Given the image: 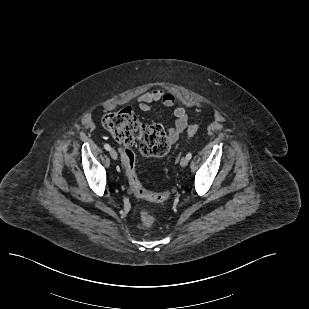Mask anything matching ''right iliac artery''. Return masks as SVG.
Instances as JSON below:
<instances>
[{"label":"right iliac artery","instance_id":"obj_1","mask_svg":"<svg viewBox=\"0 0 309 309\" xmlns=\"http://www.w3.org/2000/svg\"><path fill=\"white\" fill-rule=\"evenodd\" d=\"M104 148L107 150V151H110L111 150V147L109 144H104Z\"/></svg>","mask_w":309,"mask_h":309}]
</instances>
